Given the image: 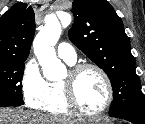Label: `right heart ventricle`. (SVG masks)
<instances>
[{"instance_id":"right-heart-ventricle-1","label":"right heart ventricle","mask_w":145,"mask_h":124,"mask_svg":"<svg viewBox=\"0 0 145 124\" xmlns=\"http://www.w3.org/2000/svg\"><path fill=\"white\" fill-rule=\"evenodd\" d=\"M67 63L72 65V63ZM38 108L52 116L63 117L71 115L72 110L66 101L62 81L47 82L46 99Z\"/></svg>"}]
</instances>
